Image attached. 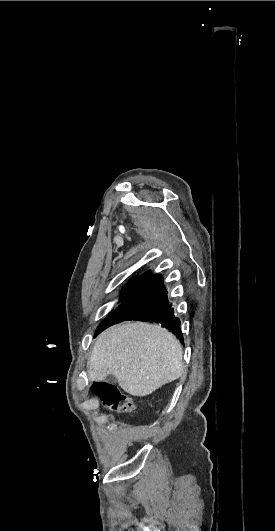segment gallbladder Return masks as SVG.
Wrapping results in <instances>:
<instances>
[{
    "label": "gallbladder",
    "mask_w": 275,
    "mask_h": 531,
    "mask_svg": "<svg viewBox=\"0 0 275 531\" xmlns=\"http://www.w3.org/2000/svg\"><path fill=\"white\" fill-rule=\"evenodd\" d=\"M106 383H109V385H114V383H117L116 377L114 375H108L105 379Z\"/></svg>",
    "instance_id": "1"
}]
</instances>
